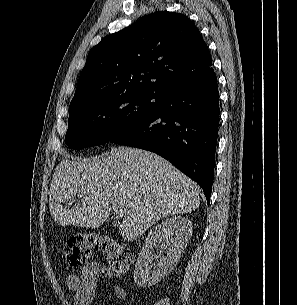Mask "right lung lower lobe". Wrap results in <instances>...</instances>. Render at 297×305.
Masks as SVG:
<instances>
[{
    "mask_svg": "<svg viewBox=\"0 0 297 305\" xmlns=\"http://www.w3.org/2000/svg\"><path fill=\"white\" fill-rule=\"evenodd\" d=\"M219 127L215 72L158 94L157 107L110 141L157 153L196 181L210 202Z\"/></svg>",
    "mask_w": 297,
    "mask_h": 305,
    "instance_id": "1",
    "label": "right lung lower lobe"
}]
</instances>
